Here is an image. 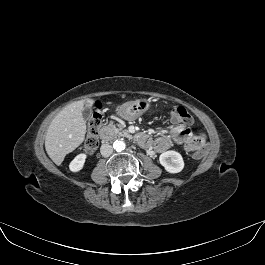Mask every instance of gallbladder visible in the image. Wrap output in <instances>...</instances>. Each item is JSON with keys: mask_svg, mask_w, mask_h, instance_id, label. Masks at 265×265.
<instances>
[{"mask_svg": "<svg viewBox=\"0 0 265 265\" xmlns=\"http://www.w3.org/2000/svg\"><path fill=\"white\" fill-rule=\"evenodd\" d=\"M91 108L89 106H85L82 112L83 118L85 120H89L91 118Z\"/></svg>", "mask_w": 265, "mask_h": 265, "instance_id": "obj_1", "label": "gallbladder"}]
</instances>
